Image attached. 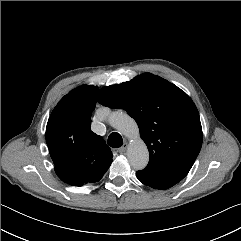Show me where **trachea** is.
<instances>
[{"label":"trachea","mask_w":241,"mask_h":241,"mask_svg":"<svg viewBox=\"0 0 241 241\" xmlns=\"http://www.w3.org/2000/svg\"><path fill=\"white\" fill-rule=\"evenodd\" d=\"M108 145L113 148L121 147L123 145L122 136L117 132L111 133L108 137Z\"/></svg>","instance_id":"3493384b"}]
</instances>
